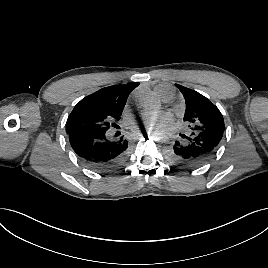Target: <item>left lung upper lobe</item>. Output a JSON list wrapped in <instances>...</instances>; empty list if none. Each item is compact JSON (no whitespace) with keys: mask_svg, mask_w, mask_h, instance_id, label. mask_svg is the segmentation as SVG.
<instances>
[{"mask_svg":"<svg viewBox=\"0 0 268 268\" xmlns=\"http://www.w3.org/2000/svg\"><path fill=\"white\" fill-rule=\"evenodd\" d=\"M186 102L183 120L193 132L225 130L224 120L219 109L200 93L176 84Z\"/></svg>","mask_w":268,"mask_h":268,"instance_id":"obj_1","label":"left lung upper lobe"}]
</instances>
